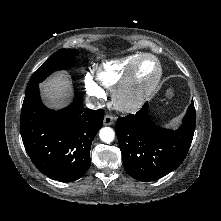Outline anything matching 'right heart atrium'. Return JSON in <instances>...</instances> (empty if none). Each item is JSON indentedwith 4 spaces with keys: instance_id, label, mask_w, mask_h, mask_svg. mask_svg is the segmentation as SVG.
I'll return each instance as SVG.
<instances>
[{
    "instance_id": "right-heart-atrium-1",
    "label": "right heart atrium",
    "mask_w": 221,
    "mask_h": 221,
    "mask_svg": "<svg viewBox=\"0 0 221 221\" xmlns=\"http://www.w3.org/2000/svg\"><path fill=\"white\" fill-rule=\"evenodd\" d=\"M85 88L87 94L96 99L101 100L104 98V92L101 87L93 80L90 74H87L84 78Z\"/></svg>"
}]
</instances>
